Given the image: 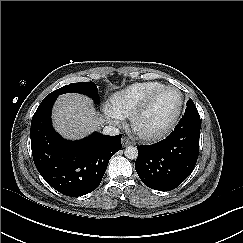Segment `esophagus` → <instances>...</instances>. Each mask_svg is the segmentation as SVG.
<instances>
[{"mask_svg": "<svg viewBox=\"0 0 243 243\" xmlns=\"http://www.w3.org/2000/svg\"><path fill=\"white\" fill-rule=\"evenodd\" d=\"M122 146L123 147H126V146H128V145H131V141L129 140V139H127V138H122Z\"/></svg>", "mask_w": 243, "mask_h": 243, "instance_id": "esophagus-1", "label": "esophagus"}]
</instances>
